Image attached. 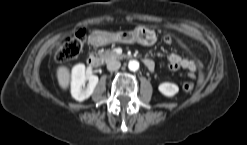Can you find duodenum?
<instances>
[{
	"label": "duodenum",
	"mask_w": 247,
	"mask_h": 145,
	"mask_svg": "<svg viewBox=\"0 0 247 145\" xmlns=\"http://www.w3.org/2000/svg\"><path fill=\"white\" fill-rule=\"evenodd\" d=\"M106 36L104 34H96L92 42L95 45L101 44L105 40ZM87 63L89 66L96 68L99 65V61L97 60L96 56L94 54H90L87 58ZM145 66L150 70L153 71L155 69V64L150 59H144Z\"/></svg>",
	"instance_id": "obj_1"
}]
</instances>
